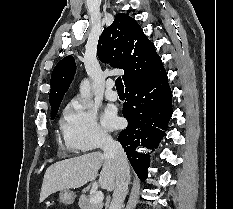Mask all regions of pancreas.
<instances>
[{
  "instance_id": "cf45deb5",
  "label": "pancreas",
  "mask_w": 233,
  "mask_h": 209,
  "mask_svg": "<svg viewBox=\"0 0 233 209\" xmlns=\"http://www.w3.org/2000/svg\"><path fill=\"white\" fill-rule=\"evenodd\" d=\"M79 207L80 209H103L102 203L92 204L90 203V197L82 194L79 198Z\"/></svg>"
}]
</instances>
